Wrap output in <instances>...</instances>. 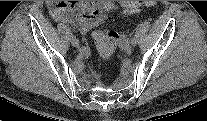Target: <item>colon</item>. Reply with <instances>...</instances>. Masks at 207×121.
<instances>
[{
    "label": "colon",
    "instance_id": "colon-1",
    "mask_svg": "<svg viewBox=\"0 0 207 121\" xmlns=\"http://www.w3.org/2000/svg\"><path fill=\"white\" fill-rule=\"evenodd\" d=\"M143 5L146 6V1H128L124 7L127 12L133 13ZM92 37L99 55L105 60H110L114 56L119 40L118 33L111 30H97L93 32Z\"/></svg>",
    "mask_w": 207,
    "mask_h": 121
}]
</instances>
